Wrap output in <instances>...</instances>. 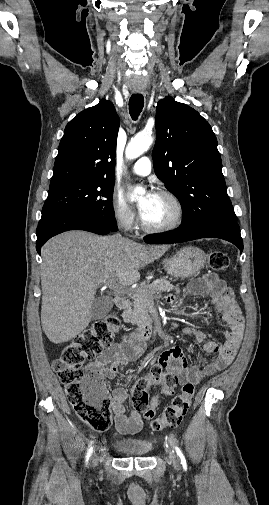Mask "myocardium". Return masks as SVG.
Returning a JSON list of instances; mask_svg holds the SVG:
<instances>
[{
    "label": "myocardium",
    "instance_id": "obj_1",
    "mask_svg": "<svg viewBox=\"0 0 269 505\" xmlns=\"http://www.w3.org/2000/svg\"><path fill=\"white\" fill-rule=\"evenodd\" d=\"M156 194L171 200L176 208V216L170 223L159 226L150 225L141 217L140 224L142 229L149 233H164L177 229L183 223L185 217V209L181 200L173 192L165 189L159 190Z\"/></svg>",
    "mask_w": 269,
    "mask_h": 505
}]
</instances>
